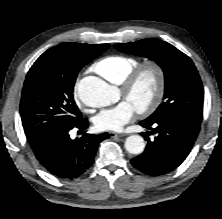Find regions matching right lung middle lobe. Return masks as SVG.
<instances>
[{
  "label": "right lung middle lobe",
  "instance_id": "right-lung-middle-lobe-1",
  "mask_svg": "<svg viewBox=\"0 0 222 219\" xmlns=\"http://www.w3.org/2000/svg\"><path fill=\"white\" fill-rule=\"evenodd\" d=\"M110 47L61 43L48 49L29 70L20 113L29 142L44 140L82 118L73 89L80 69Z\"/></svg>",
  "mask_w": 222,
  "mask_h": 219
}]
</instances>
